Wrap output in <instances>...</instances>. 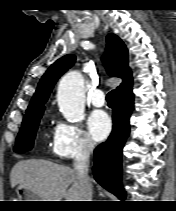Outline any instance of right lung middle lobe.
I'll return each mask as SVG.
<instances>
[{
    "label": "right lung middle lobe",
    "mask_w": 176,
    "mask_h": 211,
    "mask_svg": "<svg viewBox=\"0 0 176 211\" xmlns=\"http://www.w3.org/2000/svg\"><path fill=\"white\" fill-rule=\"evenodd\" d=\"M42 114L43 111L24 117L21 129L17 136L16 145L14 147L15 152H26L32 148Z\"/></svg>",
    "instance_id": "dd1d6c3e"
}]
</instances>
